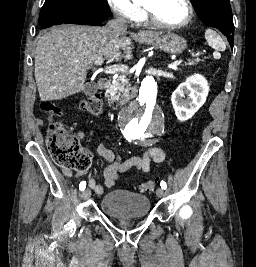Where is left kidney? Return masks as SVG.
Returning <instances> with one entry per match:
<instances>
[{
	"label": "left kidney",
	"mask_w": 256,
	"mask_h": 267,
	"mask_svg": "<svg viewBox=\"0 0 256 267\" xmlns=\"http://www.w3.org/2000/svg\"><path fill=\"white\" fill-rule=\"evenodd\" d=\"M209 86L204 76L194 74L189 76L186 82L180 84L171 96L172 106L180 122H186L198 112L199 108L206 102ZM187 96L186 100H183Z\"/></svg>",
	"instance_id": "obj_1"
}]
</instances>
